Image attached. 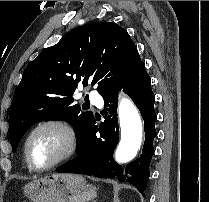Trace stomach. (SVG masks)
I'll return each instance as SVG.
<instances>
[{"mask_svg":"<svg viewBox=\"0 0 209 202\" xmlns=\"http://www.w3.org/2000/svg\"><path fill=\"white\" fill-rule=\"evenodd\" d=\"M24 195L32 202H88L96 187L77 174H52L25 185Z\"/></svg>","mask_w":209,"mask_h":202,"instance_id":"stomach-1","label":"stomach"}]
</instances>
